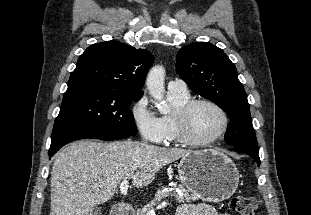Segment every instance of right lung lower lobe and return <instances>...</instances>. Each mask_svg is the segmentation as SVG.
Masks as SVG:
<instances>
[{
  "label": "right lung lower lobe",
  "mask_w": 311,
  "mask_h": 215,
  "mask_svg": "<svg viewBox=\"0 0 311 215\" xmlns=\"http://www.w3.org/2000/svg\"><path fill=\"white\" fill-rule=\"evenodd\" d=\"M131 136L127 133H115V132H108V133H99V132H93V133H77V134H71L62 136L56 139H52L51 146L49 149V158H51L61 147L64 145L80 139L85 138H96L100 140H117V139H125Z\"/></svg>",
  "instance_id": "1"
}]
</instances>
